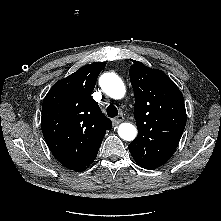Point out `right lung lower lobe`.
Segmentation results:
<instances>
[{
  "instance_id": "1",
  "label": "right lung lower lobe",
  "mask_w": 221,
  "mask_h": 221,
  "mask_svg": "<svg viewBox=\"0 0 221 221\" xmlns=\"http://www.w3.org/2000/svg\"><path fill=\"white\" fill-rule=\"evenodd\" d=\"M98 153V152H97ZM97 153H95L94 155H92L85 163H83L82 165H80L78 168L74 169V171L76 172H81L84 171L86 168L89 167V165L95 160Z\"/></svg>"
}]
</instances>
